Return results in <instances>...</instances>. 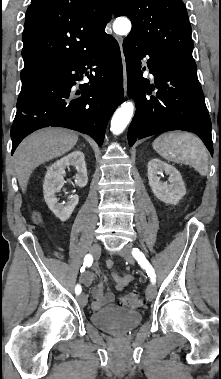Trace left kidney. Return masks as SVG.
I'll return each mask as SVG.
<instances>
[{
    "mask_svg": "<svg viewBox=\"0 0 221 379\" xmlns=\"http://www.w3.org/2000/svg\"><path fill=\"white\" fill-rule=\"evenodd\" d=\"M149 185L154 195L166 204H177L186 194V188L182 176L178 170L158 158L148 162ZM165 172L169 175L167 182H162L158 174Z\"/></svg>",
    "mask_w": 221,
    "mask_h": 379,
    "instance_id": "obj_1",
    "label": "left kidney"
}]
</instances>
